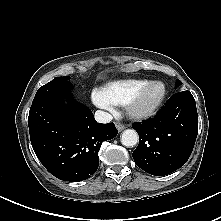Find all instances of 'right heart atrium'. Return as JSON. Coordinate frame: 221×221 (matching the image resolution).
Instances as JSON below:
<instances>
[{"instance_id": "obj_1", "label": "right heart atrium", "mask_w": 221, "mask_h": 221, "mask_svg": "<svg viewBox=\"0 0 221 221\" xmlns=\"http://www.w3.org/2000/svg\"><path fill=\"white\" fill-rule=\"evenodd\" d=\"M91 100L97 107L107 113L113 114L115 112L114 105L103 95L101 89H94L91 92Z\"/></svg>"}]
</instances>
